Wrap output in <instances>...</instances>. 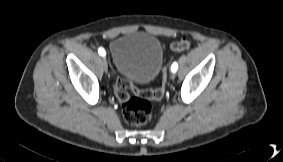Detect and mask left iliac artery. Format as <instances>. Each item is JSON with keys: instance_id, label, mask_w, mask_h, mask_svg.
<instances>
[{"instance_id": "1", "label": "left iliac artery", "mask_w": 283, "mask_h": 162, "mask_svg": "<svg viewBox=\"0 0 283 162\" xmlns=\"http://www.w3.org/2000/svg\"><path fill=\"white\" fill-rule=\"evenodd\" d=\"M177 69H178V64H177L176 62H174V63L172 64V66H171V71H172V72H176Z\"/></svg>"}]
</instances>
